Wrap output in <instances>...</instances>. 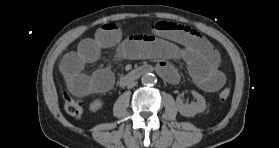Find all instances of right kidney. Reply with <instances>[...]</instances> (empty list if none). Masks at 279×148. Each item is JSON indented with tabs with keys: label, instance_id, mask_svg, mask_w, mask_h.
Wrapping results in <instances>:
<instances>
[{
	"label": "right kidney",
	"instance_id": "right-kidney-1",
	"mask_svg": "<svg viewBox=\"0 0 279 148\" xmlns=\"http://www.w3.org/2000/svg\"><path fill=\"white\" fill-rule=\"evenodd\" d=\"M103 107V102L100 99H95L89 106V110L96 112Z\"/></svg>",
	"mask_w": 279,
	"mask_h": 148
}]
</instances>
